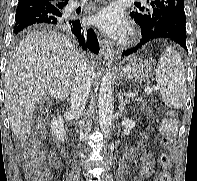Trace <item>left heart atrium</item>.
<instances>
[{
  "instance_id": "obj_1",
  "label": "left heart atrium",
  "mask_w": 197,
  "mask_h": 181,
  "mask_svg": "<svg viewBox=\"0 0 197 181\" xmlns=\"http://www.w3.org/2000/svg\"><path fill=\"white\" fill-rule=\"evenodd\" d=\"M93 22L112 36H123L128 28V23L121 9L116 5H110L101 9L93 17Z\"/></svg>"
}]
</instances>
